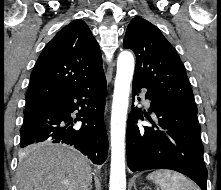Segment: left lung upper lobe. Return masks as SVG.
Listing matches in <instances>:
<instances>
[{
  "label": "left lung upper lobe",
  "instance_id": "1",
  "mask_svg": "<svg viewBox=\"0 0 221 190\" xmlns=\"http://www.w3.org/2000/svg\"><path fill=\"white\" fill-rule=\"evenodd\" d=\"M123 47L136 55L134 78L168 104L197 114L185 67L174 47L149 21L135 17L127 27Z\"/></svg>",
  "mask_w": 221,
  "mask_h": 190
}]
</instances>
